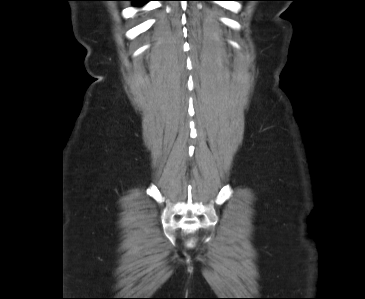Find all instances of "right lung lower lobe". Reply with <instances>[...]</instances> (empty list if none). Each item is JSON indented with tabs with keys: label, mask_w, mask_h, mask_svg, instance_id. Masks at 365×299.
<instances>
[{
	"label": "right lung lower lobe",
	"mask_w": 365,
	"mask_h": 299,
	"mask_svg": "<svg viewBox=\"0 0 365 299\" xmlns=\"http://www.w3.org/2000/svg\"><path fill=\"white\" fill-rule=\"evenodd\" d=\"M130 1H135L136 5L140 6V5L145 4L149 0H130Z\"/></svg>",
	"instance_id": "98d812e1"
}]
</instances>
